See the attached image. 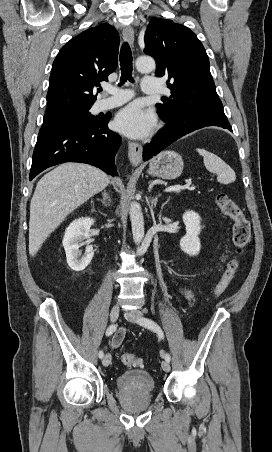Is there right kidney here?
Here are the masks:
<instances>
[{"instance_id":"1","label":"right kidney","mask_w":272,"mask_h":452,"mask_svg":"<svg viewBox=\"0 0 272 452\" xmlns=\"http://www.w3.org/2000/svg\"><path fill=\"white\" fill-rule=\"evenodd\" d=\"M94 219L85 217L73 221L66 229L63 246L66 252V259L69 267L74 271L84 270L91 262L94 251L92 245L87 240L86 252L82 256L79 248L84 244V239L90 238V228L94 224Z\"/></svg>"}]
</instances>
